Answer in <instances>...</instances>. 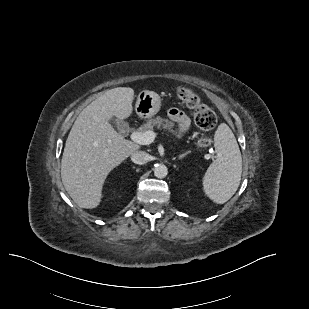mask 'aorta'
Instances as JSON below:
<instances>
[{
	"label": "aorta",
	"mask_w": 309,
	"mask_h": 309,
	"mask_svg": "<svg viewBox=\"0 0 309 309\" xmlns=\"http://www.w3.org/2000/svg\"><path fill=\"white\" fill-rule=\"evenodd\" d=\"M168 174V169L164 164H156L154 167V175L157 178H164Z\"/></svg>",
	"instance_id": "aorta-1"
}]
</instances>
